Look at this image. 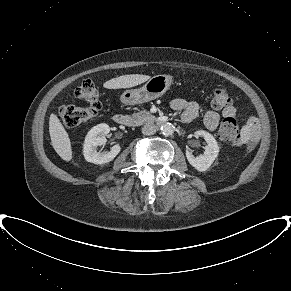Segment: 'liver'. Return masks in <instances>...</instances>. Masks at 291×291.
Segmentation results:
<instances>
[{"label": "liver", "instance_id": "obj_1", "mask_svg": "<svg viewBox=\"0 0 291 291\" xmlns=\"http://www.w3.org/2000/svg\"><path fill=\"white\" fill-rule=\"evenodd\" d=\"M151 77L143 74L122 75L106 81L103 86L107 89L130 88L142 84ZM49 134L51 144L56 153L65 161L72 159V148L69 135L59 118L55 114L50 115Z\"/></svg>", "mask_w": 291, "mask_h": 291}]
</instances>
